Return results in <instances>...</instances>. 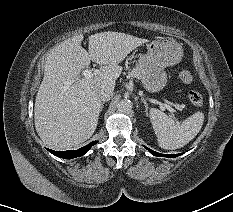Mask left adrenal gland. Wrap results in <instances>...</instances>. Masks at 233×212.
<instances>
[{
  "label": "left adrenal gland",
  "mask_w": 233,
  "mask_h": 212,
  "mask_svg": "<svg viewBox=\"0 0 233 212\" xmlns=\"http://www.w3.org/2000/svg\"><path fill=\"white\" fill-rule=\"evenodd\" d=\"M141 100H142V102H143V104L145 106V112L148 115V104H147V102H146V100L144 98H142Z\"/></svg>",
  "instance_id": "a2214340"
}]
</instances>
